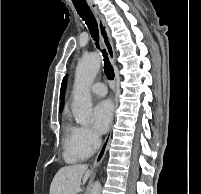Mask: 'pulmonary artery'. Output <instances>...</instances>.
Instances as JSON below:
<instances>
[{
  "label": "pulmonary artery",
  "mask_w": 201,
  "mask_h": 194,
  "mask_svg": "<svg viewBox=\"0 0 201 194\" xmlns=\"http://www.w3.org/2000/svg\"><path fill=\"white\" fill-rule=\"evenodd\" d=\"M90 91L96 96L103 97L107 94V87L104 83L97 82L90 87Z\"/></svg>",
  "instance_id": "1"
}]
</instances>
